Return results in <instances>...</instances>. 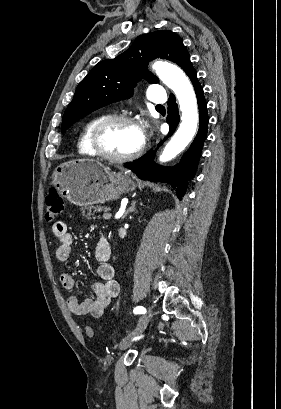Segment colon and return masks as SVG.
Here are the masks:
<instances>
[{"mask_svg": "<svg viewBox=\"0 0 281 409\" xmlns=\"http://www.w3.org/2000/svg\"><path fill=\"white\" fill-rule=\"evenodd\" d=\"M45 203H46V218L47 220H55L59 218L61 215L63 209H64V203L59 196V194L53 190L51 193H49L46 198H45ZM86 334L87 335H92L93 334V329L92 328H87L86 329Z\"/></svg>", "mask_w": 281, "mask_h": 409, "instance_id": "obj_1", "label": "colon"}]
</instances>
